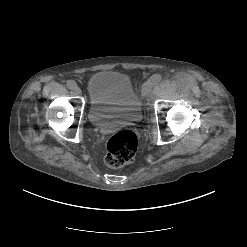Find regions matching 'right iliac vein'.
I'll use <instances>...</instances> for the list:
<instances>
[{"instance_id":"63e3f726","label":"right iliac vein","mask_w":247,"mask_h":247,"mask_svg":"<svg viewBox=\"0 0 247 247\" xmlns=\"http://www.w3.org/2000/svg\"><path fill=\"white\" fill-rule=\"evenodd\" d=\"M74 92H75L76 95H81L82 94V91H81V89L79 87L74 88Z\"/></svg>"}]
</instances>
